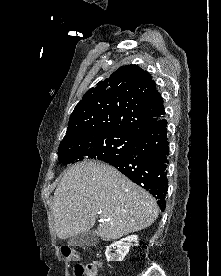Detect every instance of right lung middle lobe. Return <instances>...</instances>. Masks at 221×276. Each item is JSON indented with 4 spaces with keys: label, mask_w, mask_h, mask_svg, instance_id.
Segmentation results:
<instances>
[{
    "label": "right lung middle lobe",
    "mask_w": 221,
    "mask_h": 276,
    "mask_svg": "<svg viewBox=\"0 0 221 276\" xmlns=\"http://www.w3.org/2000/svg\"><path fill=\"white\" fill-rule=\"evenodd\" d=\"M137 141V136L123 132H111L61 142L58 148L59 162L64 165L87 159L107 162L129 152Z\"/></svg>",
    "instance_id": "right-lung-middle-lobe-1"
}]
</instances>
